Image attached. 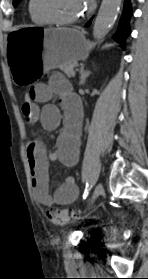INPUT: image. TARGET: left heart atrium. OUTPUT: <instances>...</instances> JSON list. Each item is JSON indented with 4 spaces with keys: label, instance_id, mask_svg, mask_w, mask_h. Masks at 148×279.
I'll list each match as a JSON object with an SVG mask.
<instances>
[{
    "label": "left heart atrium",
    "instance_id": "obj_1",
    "mask_svg": "<svg viewBox=\"0 0 148 279\" xmlns=\"http://www.w3.org/2000/svg\"><path fill=\"white\" fill-rule=\"evenodd\" d=\"M80 1H81L83 10L89 9L94 3V0H80Z\"/></svg>",
    "mask_w": 148,
    "mask_h": 279
}]
</instances>
